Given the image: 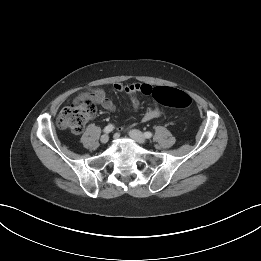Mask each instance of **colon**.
I'll return each instance as SVG.
<instances>
[{
	"mask_svg": "<svg viewBox=\"0 0 261 261\" xmlns=\"http://www.w3.org/2000/svg\"><path fill=\"white\" fill-rule=\"evenodd\" d=\"M152 96L155 101L168 107L184 109L191 104L190 96L175 88H155L152 91ZM95 114L96 106L94 102L88 100L63 108L57 116L56 123L59 128L67 129L77 134L82 132L85 124Z\"/></svg>",
	"mask_w": 261,
	"mask_h": 261,
	"instance_id": "colon-1",
	"label": "colon"
}]
</instances>
